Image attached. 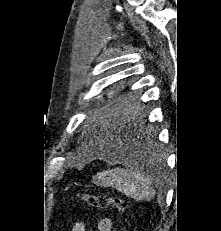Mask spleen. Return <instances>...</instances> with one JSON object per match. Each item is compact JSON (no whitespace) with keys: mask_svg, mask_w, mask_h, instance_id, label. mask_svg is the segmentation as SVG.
<instances>
[{"mask_svg":"<svg viewBox=\"0 0 221 231\" xmlns=\"http://www.w3.org/2000/svg\"><path fill=\"white\" fill-rule=\"evenodd\" d=\"M95 181L99 185L116 188L136 201L152 199L156 194L152 182L136 169L115 168L101 172Z\"/></svg>","mask_w":221,"mask_h":231,"instance_id":"3e777b00","label":"spleen"}]
</instances>
